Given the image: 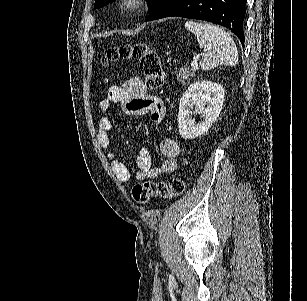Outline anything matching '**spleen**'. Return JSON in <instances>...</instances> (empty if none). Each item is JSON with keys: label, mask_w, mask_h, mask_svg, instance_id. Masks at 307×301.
I'll return each instance as SVG.
<instances>
[{"label": "spleen", "mask_w": 307, "mask_h": 301, "mask_svg": "<svg viewBox=\"0 0 307 301\" xmlns=\"http://www.w3.org/2000/svg\"><path fill=\"white\" fill-rule=\"evenodd\" d=\"M185 28L194 32L200 48H203L200 68L212 70L219 64L236 66L238 64L237 46L228 32L210 22L187 20Z\"/></svg>", "instance_id": "3e777b00"}]
</instances>
